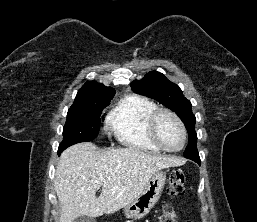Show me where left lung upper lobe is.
I'll return each instance as SVG.
<instances>
[{
    "instance_id": "obj_1",
    "label": "left lung upper lobe",
    "mask_w": 257,
    "mask_h": 222,
    "mask_svg": "<svg viewBox=\"0 0 257 222\" xmlns=\"http://www.w3.org/2000/svg\"><path fill=\"white\" fill-rule=\"evenodd\" d=\"M132 90L149 98L155 99L174 111L187 128L189 141L185 149V158L196 161L200 159L197 150V135L195 132V116L191 103L187 100L177 84L169 81L162 73L151 71L141 80L131 83Z\"/></svg>"
}]
</instances>
